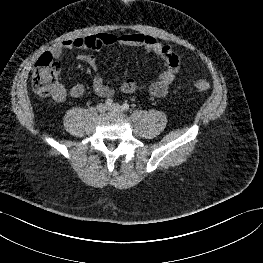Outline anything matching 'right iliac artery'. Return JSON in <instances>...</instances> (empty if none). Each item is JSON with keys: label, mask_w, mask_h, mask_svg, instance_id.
<instances>
[{"label": "right iliac artery", "mask_w": 263, "mask_h": 263, "mask_svg": "<svg viewBox=\"0 0 263 263\" xmlns=\"http://www.w3.org/2000/svg\"><path fill=\"white\" fill-rule=\"evenodd\" d=\"M105 104L107 106H111L113 104V100L111 98H108L106 101H105Z\"/></svg>", "instance_id": "obj_1"}]
</instances>
